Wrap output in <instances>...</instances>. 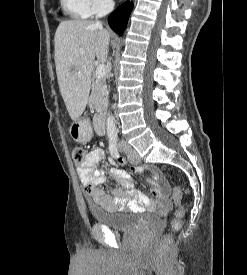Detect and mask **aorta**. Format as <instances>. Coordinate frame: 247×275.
<instances>
[{"mask_svg":"<svg viewBox=\"0 0 247 275\" xmlns=\"http://www.w3.org/2000/svg\"><path fill=\"white\" fill-rule=\"evenodd\" d=\"M107 136L109 139L117 137L115 118L112 114H108L106 121Z\"/></svg>","mask_w":247,"mask_h":275,"instance_id":"obj_1","label":"aorta"}]
</instances>
